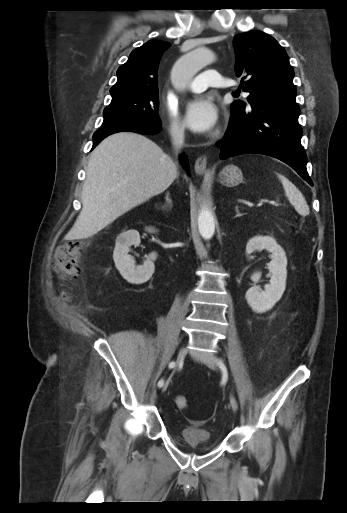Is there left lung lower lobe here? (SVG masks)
Wrapping results in <instances>:
<instances>
[{
    "mask_svg": "<svg viewBox=\"0 0 347 513\" xmlns=\"http://www.w3.org/2000/svg\"><path fill=\"white\" fill-rule=\"evenodd\" d=\"M231 108L228 129L221 143L220 158L258 153L277 158L291 166L313 185L307 169V157L301 145L300 109L295 101L269 99Z\"/></svg>",
    "mask_w": 347,
    "mask_h": 513,
    "instance_id": "0a47b994",
    "label": "left lung lower lobe"
}]
</instances>
